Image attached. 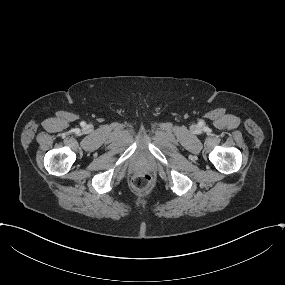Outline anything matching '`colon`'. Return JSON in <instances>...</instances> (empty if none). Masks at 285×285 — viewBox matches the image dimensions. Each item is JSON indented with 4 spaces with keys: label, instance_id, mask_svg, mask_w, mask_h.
Segmentation results:
<instances>
[{
    "label": "colon",
    "instance_id": "colon-1",
    "mask_svg": "<svg viewBox=\"0 0 285 285\" xmlns=\"http://www.w3.org/2000/svg\"><path fill=\"white\" fill-rule=\"evenodd\" d=\"M132 187L139 191H147L153 185V176L148 172H140L131 180Z\"/></svg>",
    "mask_w": 285,
    "mask_h": 285
}]
</instances>
